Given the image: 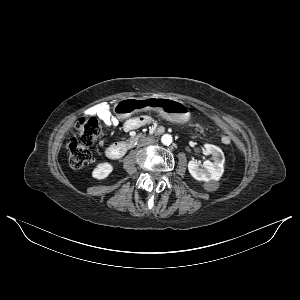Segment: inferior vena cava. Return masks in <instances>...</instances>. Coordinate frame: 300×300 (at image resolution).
<instances>
[{
  "instance_id": "602c4592",
  "label": "inferior vena cava",
  "mask_w": 300,
  "mask_h": 300,
  "mask_svg": "<svg viewBox=\"0 0 300 300\" xmlns=\"http://www.w3.org/2000/svg\"><path fill=\"white\" fill-rule=\"evenodd\" d=\"M154 143H155L154 137H149L148 139H140L139 140V146H149Z\"/></svg>"
}]
</instances>
